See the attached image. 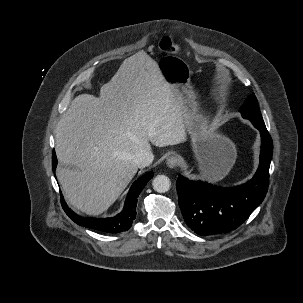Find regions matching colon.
I'll return each mask as SVG.
<instances>
[{"label":"colon","instance_id":"1","mask_svg":"<svg viewBox=\"0 0 303 303\" xmlns=\"http://www.w3.org/2000/svg\"><path fill=\"white\" fill-rule=\"evenodd\" d=\"M159 48L164 52L178 53L179 47L174 43L170 36H164L159 41Z\"/></svg>","mask_w":303,"mask_h":303}]
</instances>
